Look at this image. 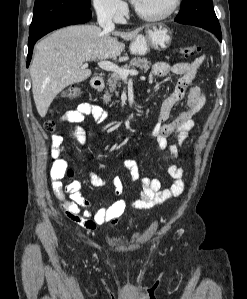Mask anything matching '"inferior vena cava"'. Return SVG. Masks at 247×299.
<instances>
[{
    "label": "inferior vena cava",
    "instance_id": "602c4592",
    "mask_svg": "<svg viewBox=\"0 0 247 299\" xmlns=\"http://www.w3.org/2000/svg\"><path fill=\"white\" fill-rule=\"evenodd\" d=\"M113 9L111 8H100L97 11V21L99 26L102 27L105 31H112L115 28L114 23L112 22Z\"/></svg>",
    "mask_w": 247,
    "mask_h": 299
}]
</instances>
